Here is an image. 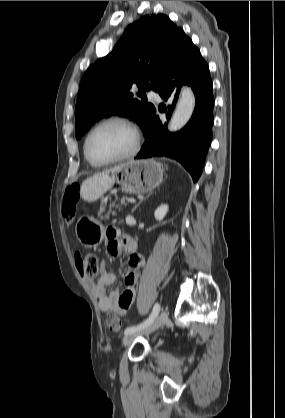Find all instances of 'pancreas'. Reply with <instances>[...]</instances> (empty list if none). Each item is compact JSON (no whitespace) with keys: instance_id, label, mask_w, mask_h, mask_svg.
Here are the masks:
<instances>
[{"instance_id":"cf45deb5","label":"pancreas","mask_w":285,"mask_h":418,"mask_svg":"<svg viewBox=\"0 0 285 418\" xmlns=\"http://www.w3.org/2000/svg\"><path fill=\"white\" fill-rule=\"evenodd\" d=\"M125 200L123 199L122 200V203L124 202ZM115 207H118V205L116 206L114 203L113 204H111L110 205V210H109V212L108 213H106L105 212V209H106V204H104V203H102L101 204V207H100V213H99V215L102 217V218H108L109 217V213L112 211V209L113 208H115Z\"/></svg>"}]
</instances>
